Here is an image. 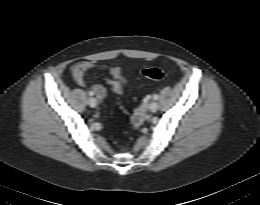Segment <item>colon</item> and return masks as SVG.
<instances>
[{
  "instance_id": "1",
  "label": "colon",
  "mask_w": 260,
  "mask_h": 205,
  "mask_svg": "<svg viewBox=\"0 0 260 205\" xmlns=\"http://www.w3.org/2000/svg\"><path fill=\"white\" fill-rule=\"evenodd\" d=\"M142 75L145 78L152 80H163L165 79L167 73L162 67H148L142 70Z\"/></svg>"
}]
</instances>
